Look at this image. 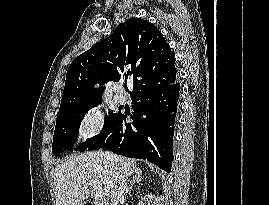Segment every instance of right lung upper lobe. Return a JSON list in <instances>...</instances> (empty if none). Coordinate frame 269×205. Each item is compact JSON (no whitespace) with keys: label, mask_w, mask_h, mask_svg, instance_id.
Here are the masks:
<instances>
[{"label":"right lung upper lobe","mask_w":269,"mask_h":205,"mask_svg":"<svg viewBox=\"0 0 269 205\" xmlns=\"http://www.w3.org/2000/svg\"><path fill=\"white\" fill-rule=\"evenodd\" d=\"M175 58L162 33L150 22L129 18L106 39L78 56L69 66L58 118L100 103L96 83L133 77L130 96L177 82Z\"/></svg>","instance_id":"obj_1"}]
</instances>
